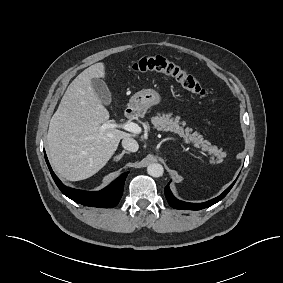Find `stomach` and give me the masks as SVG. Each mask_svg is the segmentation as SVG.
<instances>
[{
	"label": "stomach",
	"mask_w": 283,
	"mask_h": 283,
	"mask_svg": "<svg viewBox=\"0 0 283 283\" xmlns=\"http://www.w3.org/2000/svg\"><path fill=\"white\" fill-rule=\"evenodd\" d=\"M161 101V96L155 89H143L135 93L129 102V108L135 113L143 115L151 106L157 105Z\"/></svg>",
	"instance_id": "stomach-1"
}]
</instances>
